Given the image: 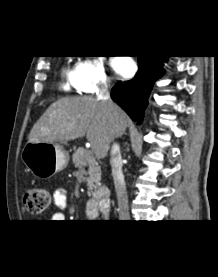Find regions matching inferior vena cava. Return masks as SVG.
Wrapping results in <instances>:
<instances>
[{"instance_id":"obj_1","label":"inferior vena cava","mask_w":218,"mask_h":277,"mask_svg":"<svg viewBox=\"0 0 218 277\" xmlns=\"http://www.w3.org/2000/svg\"><path fill=\"white\" fill-rule=\"evenodd\" d=\"M97 99L99 101L107 103L111 110L114 113H117L118 106L111 101L110 92L108 90V84L106 82L102 83L100 91L97 95ZM110 163L112 167V176L118 201L119 218L121 220H127L129 219L128 196L126 191L124 175L122 172V156L118 144H113L111 148Z\"/></svg>"}]
</instances>
